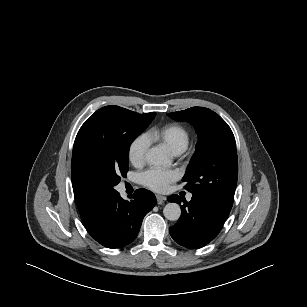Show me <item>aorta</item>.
Returning <instances> with one entry per match:
<instances>
[{
  "mask_svg": "<svg viewBox=\"0 0 307 307\" xmlns=\"http://www.w3.org/2000/svg\"><path fill=\"white\" fill-rule=\"evenodd\" d=\"M146 161L149 165L160 166L169 165L171 160L165 150L159 147H154L149 150L146 155ZM163 214L166 219L176 221L181 216V208L177 203H168L163 209Z\"/></svg>",
  "mask_w": 307,
  "mask_h": 307,
  "instance_id": "obj_1",
  "label": "aorta"
}]
</instances>
